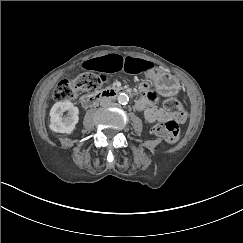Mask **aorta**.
Instances as JSON below:
<instances>
[{
	"label": "aorta",
	"instance_id": "762f6f07",
	"mask_svg": "<svg viewBox=\"0 0 243 243\" xmlns=\"http://www.w3.org/2000/svg\"><path fill=\"white\" fill-rule=\"evenodd\" d=\"M117 100L120 104H126L129 100V97L125 93H121L118 95Z\"/></svg>",
	"mask_w": 243,
	"mask_h": 243
}]
</instances>
